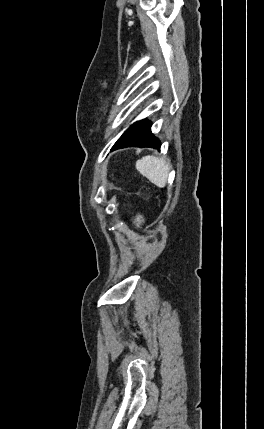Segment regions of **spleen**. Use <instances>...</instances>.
Listing matches in <instances>:
<instances>
[{
  "label": "spleen",
  "mask_w": 264,
  "mask_h": 429,
  "mask_svg": "<svg viewBox=\"0 0 264 429\" xmlns=\"http://www.w3.org/2000/svg\"><path fill=\"white\" fill-rule=\"evenodd\" d=\"M136 169L159 188L166 186L170 164L164 158L144 156L136 162Z\"/></svg>",
  "instance_id": "obj_1"
}]
</instances>
